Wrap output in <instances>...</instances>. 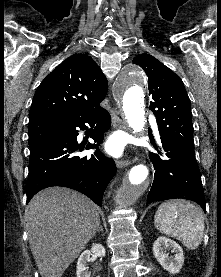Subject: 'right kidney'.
<instances>
[{"instance_id": "ca27d5eb", "label": "right kidney", "mask_w": 221, "mask_h": 277, "mask_svg": "<svg viewBox=\"0 0 221 277\" xmlns=\"http://www.w3.org/2000/svg\"><path fill=\"white\" fill-rule=\"evenodd\" d=\"M105 248L101 244H94L91 250H85L77 261V277H90L88 269L86 267V262L90 260V256L105 257Z\"/></svg>"}]
</instances>
